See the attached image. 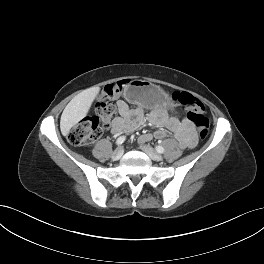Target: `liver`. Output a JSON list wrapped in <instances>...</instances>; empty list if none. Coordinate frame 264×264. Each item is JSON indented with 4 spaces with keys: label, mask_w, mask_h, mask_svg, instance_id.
<instances>
[{
    "label": "liver",
    "mask_w": 264,
    "mask_h": 264,
    "mask_svg": "<svg viewBox=\"0 0 264 264\" xmlns=\"http://www.w3.org/2000/svg\"><path fill=\"white\" fill-rule=\"evenodd\" d=\"M100 92V87L88 88L76 95L65 107L61 115L60 129L66 136L70 129L82 120L88 113L94 99Z\"/></svg>",
    "instance_id": "obj_1"
}]
</instances>
